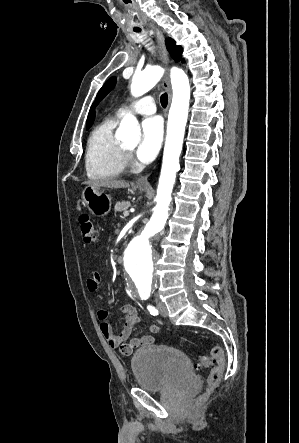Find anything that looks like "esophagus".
Here are the masks:
<instances>
[{
  "mask_svg": "<svg viewBox=\"0 0 299 443\" xmlns=\"http://www.w3.org/2000/svg\"><path fill=\"white\" fill-rule=\"evenodd\" d=\"M155 37H156V40H157V43L159 46L162 62L164 65L167 66L169 63V57H168V52H167V49L165 46L164 37H163L162 32L159 31L158 29H155ZM162 85L168 93L169 102H170L171 96H172V91H171L168 73H166V75L164 76ZM148 177H149V174L139 177L136 180V185L146 186V187L150 186V184L148 182Z\"/></svg>",
  "mask_w": 299,
  "mask_h": 443,
  "instance_id": "1",
  "label": "esophagus"
}]
</instances>
